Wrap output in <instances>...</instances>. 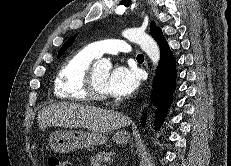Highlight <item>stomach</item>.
I'll use <instances>...</instances> for the list:
<instances>
[{"instance_id":"1","label":"stomach","mask_w":231,"mask_h":166,"mask_svg":"<svg viewBox=\"0 0 231 166\" xmlns=\"http://www.w3.org/2000/svg\"><path fill=\"white\" fill-rule=\"evenodd\" d=\"M108 134L81 130L56 131L49 137L51 149L59 154H66L76 149H88L106 143ZM112 139L119 145L128 143L129 134L125 130L117 131Z\"/></svg>"}]
</instances>
